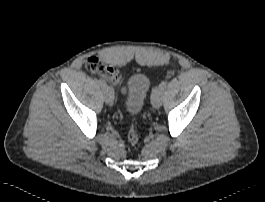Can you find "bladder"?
I'll return each mask as SVG.
<instances>
[{
	"label": "bladder",
	"instance_id": "31cf9c89",
	"mask_svg": "<svg viewBox=\"0 0 265 202\" xmlns=\"http://www.w3.org/2000/svg\"><path fill=\"white\" fill-rule=\"evenodd\" d=\"M149 90V79L144 73L129 77L125 87V109L128 113H139Z\"/></svg>",
	"mask_w": 265,
	"mask_h": 202
}]
</instances>
